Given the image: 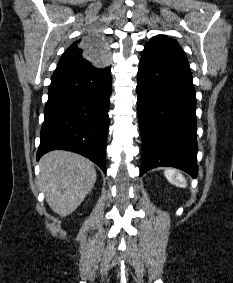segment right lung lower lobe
Here are the masks:
<instances>
[{"label":"right lung lower lobe","mask_w":233,"mask_h":283,"mask_svg":"<svg viewBox=\"0 0 233 283\" xmlns=\"http://www.w3.org/2000/svg\"><path fill=\"white\" fill-rule=\"evenodd\" d=\"M111 91V66L56 69L44 109L37 160L52 150H68L89 158L106 172Z\"/></svg>","instance_id":"1"}]
</instances>
